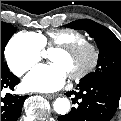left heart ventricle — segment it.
Returning <instances> with one entry per match:
<instances>
[{
    "instance_id": "1",
    "label": "left heart ventricle",
    "mask_w": 121,
    "mask_h": 121,
    "mask_svg": "<svg viewBox=\"0 0 121 121\" xmlns=\"http://www.w3.org/2000/svg\"><path fill=\"white\" fill-rule=\"evenodd\" d=\"M48 57L49 60L61 68L67 76L79 71L91 60L90 53H85L80 57L75 58L71 55L56 50L51 51Z\"/></svg>"
}]
</instances>
